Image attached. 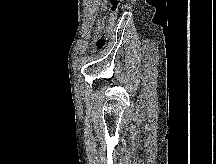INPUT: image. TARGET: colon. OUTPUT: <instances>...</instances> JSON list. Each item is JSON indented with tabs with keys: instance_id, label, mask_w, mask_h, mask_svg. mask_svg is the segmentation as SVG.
Instances as JSON below:
<instances>
[{
	"instance_id": "colon-1",
	"label": "colon",
	"mask_w": 216,
	"mask_h": 164,
	"mask_svg": "<svg viewBox=\"0 0 216 164\" xmlns=\"http://www.w3.org/2000/svg\"><path fill=\"white\" fill-rule=\"evenodd\" d=\"M124 0H109V19L101 23L95 33V47L103 50L110 41L118 17L120 6Z\"/></svg>"
}]
</instances>
